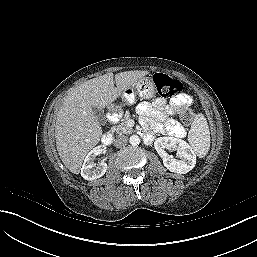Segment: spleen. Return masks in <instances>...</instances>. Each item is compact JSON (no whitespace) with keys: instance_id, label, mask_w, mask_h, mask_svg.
Segmentation results:
<instances>
[{"instance_id":"1","label":"spleen","mask_w":257,"mask_h":257,"mask_svg":"<svg viewBox=\"0 0 257 257\" xmlns=\"http://www.w3.org/2000/svg\"><path fill=\"white\" fill-rule=\"evenodd\" d=\"M188 142L192 151L200 158L206 156L210 147V131L203 114H197L188 133Z\"/></svg>"}]
</instances>
